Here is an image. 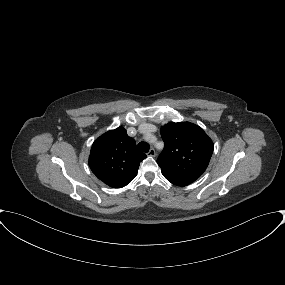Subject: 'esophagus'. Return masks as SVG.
I'll return each mask as SVG.
<instances>
[{
	"instance_id": "esophagus-1",
	"label": "esophagus",
	"mask_w": 285,
	"mask_h": 285,
	"mask_svg": "<svg viewBox=\"0 0 285 285\" xmlns=\"http://www.w3.org/2000/svg\"><path fill=\"white\" fill-rule=\"evenodd\" d=\"M147 154L148 156L154 157L156 155L155 149L151 148Z\"/></svg>"
}]
</instances>
